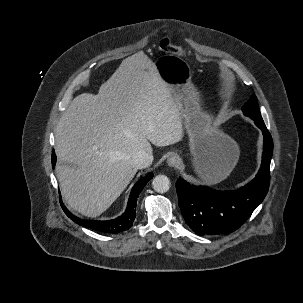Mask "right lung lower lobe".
<instances>
[{
	"mask_svg": "<svg viewBox=\"0 0 303 303\" xmlns=\"http://www.w3.org/2000/svg\"><path fill=\"white\" fill-rule=\"evenodd\" d=\"M56 164V155L53 150L52 152V167L54 168ZM153 173H149L147 176L139 180L133 187L126 211L119 217L113 220L108 221H93V220H82L72 213H70L64 204L62 203L61 199V207L66 213V215L73 220L75 223L90 228L92 230L103 232V233H120L129 229L132 226V223L136 217V203L137 197L139 196L140 192L147 184V182L152 179Z\"/></svg>",
	"mask_w": 303,
	"mask_h": 303,
	"instance_id": "98d812e1",
	"label": "right lung lower lobe"
}]
</instances>
